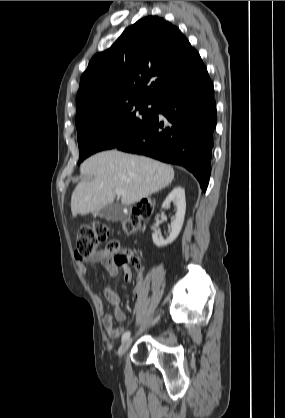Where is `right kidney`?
<instances>
[{"label":"right kidney","instance_id":"right-kidney-1","mask_svg":"<svg viewBox=\"0 0 285 418\" xmlns=\"http://www.w3.org/2000/svg\"><path fill=\"white\" fill-rule=\"evenodd\" d=\"M171 203H173L176 206L175 218L171 222L172 230L170 232L169 237L166 240L159 238L156 235V233L152 234L153 242L157 247H163L168 244H171L178 237L182 229L186 211L185 190L182 187H175L169 193V195L166 197L165 201L162 204V208H167ZM156 221H159V219L156 218Z\"/></svg>","mask_w":285,"mask_h":418}]
</instances>
